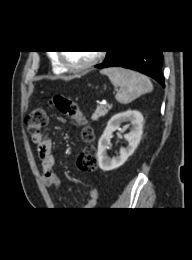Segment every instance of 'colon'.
Masks as SVG:
<instances>
[{
    "label": "colon",
    "instance_id": "1",
    "mask_svg": "<svg viewBox=\"0 0 192 260\" xmlns=\"http://www.w3.org/2000/svg\"><path fill=\"white\" fill-rule=\"evenodd\" d=\"M50 105L83 126L81 136L87 145L79 155L77 165L82 171H93L97 162L95 148L90 144L93 140V132L91 128L85 125V119L79 110L78 104L65 96H55L51 99ZM47 121V110L44 107H36L30 112L26 119L28 132L32 136L39 134L41 129L47 124Z\"/></svg>",
    "mask_w": 192,
    "mask_h": 260
}]
</instances>
